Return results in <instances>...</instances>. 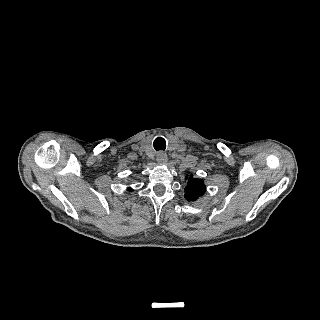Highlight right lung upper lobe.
I'll return each mask as SVG.
<instances>
[{
  "label": "right lung upper lobe",
  "instance_id": "obj_1",
  "mask_svg": "<svg viewBox=\"0 0 320 320\" xmlns=\"http://www.w3.org/2000/svg\"><path fill=\"white\" fill-rule=\"evenodd\" d=\"M127 190H128V191H132V189H131V188H128Z\"/></svg>",
  "mask_w": 320,
  "mask_h": 320
}]
</instances>
